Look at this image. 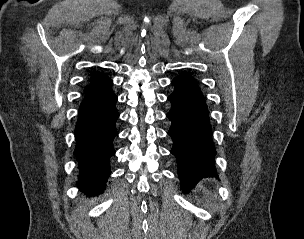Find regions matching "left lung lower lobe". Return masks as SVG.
I'll use <instances>...</instances> for the list:
<instances>
[{
	"mask_svg": "<svg viewBox=\"0 0 304 239\" xmlns=\"http://www.w3.org/2000/svg\"><path fill=\"white\" fill-rule=\"evenodd\" d=\"M175 89L168 100L171 120L168 135L173 139L171 153L176 157L181 188L189 192L202 178L217 176L214 165L216 150L208 108L196 81L188 74L177 76Z\"/></svg>",
	"mask_w": 304,
	"mask_h": 239,
	"instance_id": "obj_1",
	"label": "left lung lower lobe"
}]
</instances>
